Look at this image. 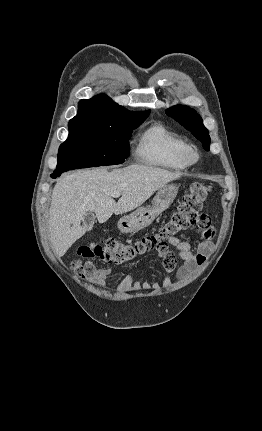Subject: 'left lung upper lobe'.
Returning <instances> with one entry per match:
<instances>
[{"instance_id": "left-lung-upper-lobe-1", "label": "left lung upper lobe", "mask_w": 262, "mask_h": 431, "mask_svg": "<svg viewBox=\"0 0 262 431\" xmlns=\"http://www.w3.org/2000/svg\"><path fill=\"white\" fill-rule=\"evenodd\" d=\"M166 113L183 125L187 130L191 131V133L202 142L204 149L207 151L209 150V132L195 110L184 105H176L167 109Z\"/></svg>"}]
</instances>
